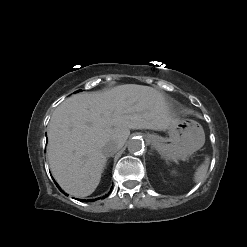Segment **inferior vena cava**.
<instances>
[{"label": "inferior vena cava", "instance_id": "602c4592", "mask_svg": "<svg viewBox=\"0 0 247 247\" xmlns=\"http://www.w3.org/2000/svg\"><path fill=\"white\" fill-rule=\"evenodd\" d=\"M119 149L120 146L116 142H108L103 146L102 151L106 157H110L113 156Z\"/></svg>", "mask_w": 247, "mask_h": 247}]
</instances>
